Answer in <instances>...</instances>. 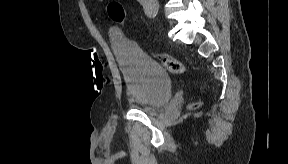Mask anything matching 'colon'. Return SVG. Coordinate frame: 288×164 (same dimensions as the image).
<instances>
[{"mask_svg":"<svg viewBox=\"0 0 288 164\" xmlns=\"http://www.w3.org/2000/svg\"><path fill=\"white\" fill-rule=\"evenodd\" d=\"M109 15L111 19L119 20L121 24L124 23V10L118 2H113L109 7ZM153 57L159 59L161 63L172 73L180 75L184 74L187 71V67L178 60L166 57L161 53L151 52ZM200 106L196 104L195 107Z\"/></svg>","mask_w":288,"mask_h":164,"instance_id":"5ec220e1","label":"colon"}]
</instances>
